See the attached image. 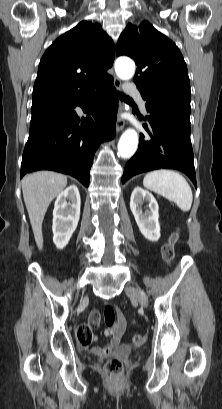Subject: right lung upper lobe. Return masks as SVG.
<instances>
[{"mask_svg": "<svg viewBox=\"0 0 222 409\" xmlns=\"http://www.w3.org/2000/svg\"><path fill=\"white\" fill-rule=\"evenodd\" d=\"M114 43L100 24L82 21L61 35L44 53L33 90L32 108L84 97L111 79Z\"/></svg>", "mask_w": 222, "mask_h": 409, "instance_id": "right-lung-upper-lobe-1", "label": "right lung upper lobe"}]
</instances>
